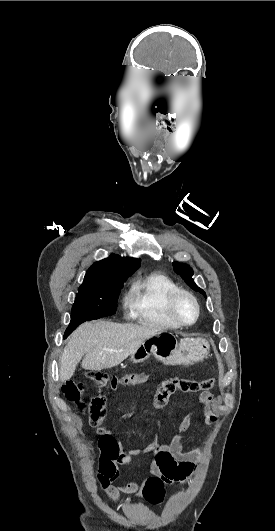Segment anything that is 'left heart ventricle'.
<instances>
[{
    "mask_svg": "<svg viewBox=\"0 0 275 531\" xmlns=\"http://www.w3.org/2000/svg\"><path fill=\"white\" fill-rule=\"evenodd\" d=\"M175 313L184 322H191L196 316L194 302L185 295H180L175 301Z\"/></svg>",
    "mask_w": 275,
    "mask_h": 531,
    "instance_id": "left-heart-ventricle-1",
    "label": "left heart ventricle"
}]
</instances>
